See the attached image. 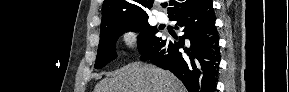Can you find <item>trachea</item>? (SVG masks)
Returning a JSON list of instances; mask_svg holds the SVG:
<instances>
[{"instance_id": "3493384b", "label": "trachea", "mask_w": 289, "mask_h": 92, "mask_svg": "<svg viewBox=\"0 0 289 92\" xmlns=\"http://www.w3.org/2000/svg\"><path fill=\"white\" fill-rule=\"evenodd\" d=\"M162 7H164V8L167 7V4L166 3L162 4Z\"/></svg>"}]
</instances>
